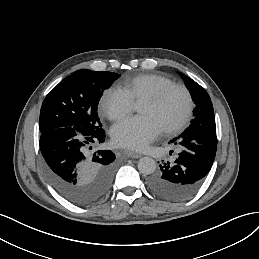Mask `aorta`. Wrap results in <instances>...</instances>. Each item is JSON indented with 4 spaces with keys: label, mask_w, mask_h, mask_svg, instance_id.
<instances>
[{
    "label": "aorta",
    "mask_w": 259,
    "mask_h": 259,
    "mask_svg": "<svg viewBox=\"0 0 259 259\" xmlns=\"http://www.w3.org/2000/svg\"><path fill=\"white\" fill-rule=\"evenodd\" d=\"M137 166L140 173L144 175L152 174L156 170V163L150 157H142L139 159Z\"/></svg>",
    "instance_id": "1"
}]
</instances>
